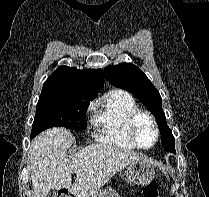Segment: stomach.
<instances>
[{"instance_id":"obj_1","label":"stomach","mask_w":209,"mask_h":197,"mask_svg":"<svg viewBox=\"0 0 209 197\" xmlns=\"http://www.w3.org/2000/svg\"><path fill=\"white\" fill-rule=\"evenodd\" d=\"M126 176L133 185H147L155 178V169L146 159H138L128 165ZM88 197H119L115 190L110 188L98 190Z\"/></svg>"}]
</instances>
